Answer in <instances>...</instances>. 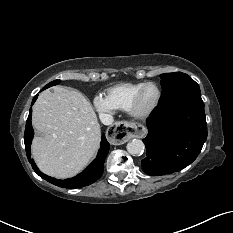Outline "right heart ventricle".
<instances>
[{"label":"right heart ventricle","mask_w":233,"mask_h":233,"mask_svg":"<svg viewBox=\"0 0 233 233\" xmlns=\"http://www.w3.org/2000/svg\"><path fill=\"white\" fill-rule=\"evenodd\" d=\"M143 84V82L117 84L107 89L105 97L115 109L128 110L135 93Z\"/></svg>","instance_id":"obj_1"}]
</instances>
